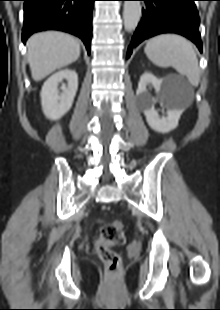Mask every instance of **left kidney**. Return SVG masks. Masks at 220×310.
<instances>
[{
  "label": "left kidney",
  "mask_w": 220,
  "mask_h": 310,
  "mask_svg": "<svg viewBox=\"0 0 220 310\" xmlns=\"http://www.w3.org/2000/svg\"><path fill=\"white\" fill-rule=\"evenodd\" d=\"M148 85H152L155 88L158 97L162 98L167 91V80L158 79L153 74L145 72L141 76L138 84L137 97L148 125L157 132L168 133L178 126V121L182 114V110L168 109L167 116L160 117L154 108L156 99L153 98L147 91Z\"/></svg>",
  "instance_id": "5707ae66"
}]
</instances>
